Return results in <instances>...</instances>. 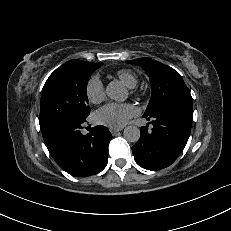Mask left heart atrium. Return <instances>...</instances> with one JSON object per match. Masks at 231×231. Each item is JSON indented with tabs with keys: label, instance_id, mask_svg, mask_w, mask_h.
Instances as JSON below:
<instances>
[{
	"label": "left heart atrium",
	"instance_id": "39dd6f15",
	"mask_svg": "<svg viewBox=\"0 0 231 231\" xmlns=\"http://www.w3.org/2000/svg\"><path fill=\"white\" fill-rule=\"evenodd\" d=\"M135 113V108L130 104L108 103L96 111L94 120L97 124L110 129H119L122 128Z\"/></svg>",
	"mask_w": 231,
	"mask_h": 231
}]
</instances>
